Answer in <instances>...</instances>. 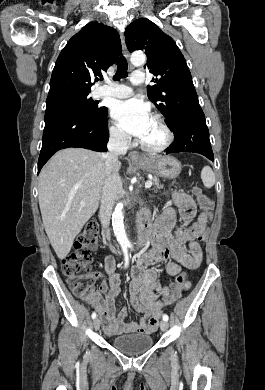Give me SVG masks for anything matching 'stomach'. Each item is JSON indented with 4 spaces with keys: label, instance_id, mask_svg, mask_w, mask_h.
Returning <instances> with one entry per match:
<instances>
[{
    "label": "stomach",
    "instance_id": "stomach-1",
    "mask_svg": "<svg viewBox=\"0 0 265 390\" xmlns=\"http://www.w3.org/2000/svg\"><path fill=\"white\" fill-rule=\"evenodd\" d=\"M136 166L148 173L170 179L176 178L181 172V163L172 156L146 158Z\"/></svg>",
    "mask_w": 265,
    "mask_h": 390
}]
</instances>
